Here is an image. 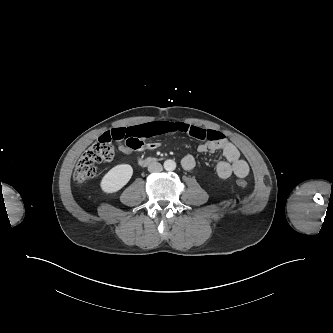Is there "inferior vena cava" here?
Masks as SVG:
<instances>
[{"label":"inferior vena cava","mask_w":333,"mask_h":333,"mask_svg":"<svg viewBox=\"0 0 333 333\" xmlns=\"http://www.w3.org/2000/svg\"><path fill=\"white\" fill-rule=\"evenodd\" d=\"M162 170H163V167L158 162H152L148 166V171L152 172V173L161 172Z\"/></svg>","instance_id":"inferior-vena-cava-1"}]
</instances>
